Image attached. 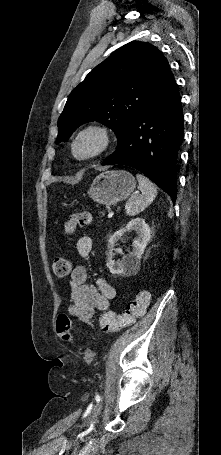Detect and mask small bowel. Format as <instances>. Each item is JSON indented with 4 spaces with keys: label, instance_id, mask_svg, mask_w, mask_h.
Listing matches in <instances>:
<instances>
[{
    "label": "small bowel",
    "instance_id": "small-bowel-1",
    "mask_svg": "<svg viewBox=\"0 0 221 455\" xmlns=\"http://www.w3.org/2000/svg\"><path fill=\"white\" fill-rule=\"evenodd\" d=\"M76 250L83 259H88L92 252V239L84 235L76 243ZM90 269L85 265H77L70 276V303L67 313L82 322L91 324L97 311L109 309L110 301L115 296L114 287L101 277L95 284H89Z\"/></svg>",
    "mask_w": 221,
    "mask_h": 455
}]
</instances>
